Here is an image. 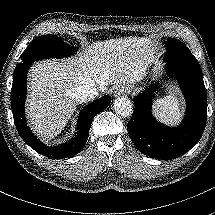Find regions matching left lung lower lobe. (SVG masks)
Masks as SVG:
<instances>
[{
  "mask_svg": "<svg viewBox=\"0 0 215 215\" xmlns=\"http://www.w3.org/2000/svg\"><path fill=\"white\" fill-rule=\"evenodd\" d=\"M167 72L176 78L186 99L187 110L175 128L159 123L151 114L154 89L147 88L134 99V113L127 124L130 138L143 154L162 160L188 152L201 138L207 119V94L201 67L191 54L164 57Z\"/></svg>",
  "mask_w": 215,
  "mask_h": 215,
  "instance_id": "1",
  "label": "left lung lower lobe"
}]
</instances>
